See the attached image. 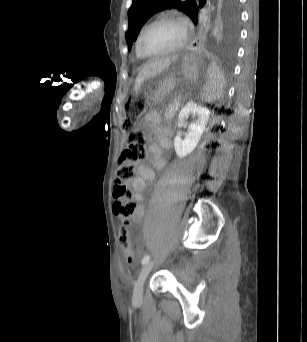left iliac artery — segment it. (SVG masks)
<instances>
[{
    "label": "left iliac artery",
    "mask_w": 307,
    "mask_h": 342,
    "mask_svg": "<svg viewBox=\"0 0 307 342\" xmlns=\"http://www.w3.org/2000/svg\"><path fill=\"white\" fill-rule=\"evenodd\" d=\"M149 259H150V255L144 256V258L141 261L142 265L146 264L149 261Z\"/></svg>",
    "instance_id": "obj_1"
}]
</instances>
